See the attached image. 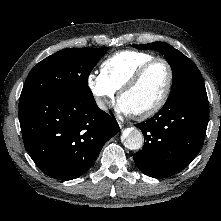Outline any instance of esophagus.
Instances as JSON below:
<instances>
[{
	"mask_svg": "<svg viewBox=\"0 0 221 221\" xmlns=\"http://www.w3.org/2000/svg\"><path fill=\"white\" fill-rule=\"evenodd\" d=\"M118 124H119V127L121 128V129H123L124 128V126H125V124L123 123V122H118Z\"/></svg>",
	"mask_w": 221,
	"mask_h": 221,
	"instance_id": "34e87169",
	"label": "esophagus"
}]
</instances>
